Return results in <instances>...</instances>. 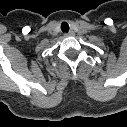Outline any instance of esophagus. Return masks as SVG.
<instances>
[{"label":"esophagus","mask_w":127,"mask_h":127,"mask_svg":"<svg viewBox=\"0 0 127 127\" xmlns=\"http://www.w3.org/2000/svg\"><path fill=\"white\" fill-rule=\"evenodd\" d=\"M75 33L74 31H69L68 33L65 34V36H74Z\"/></svg>","instance_id":"esophagus-1"}]
</instances>
